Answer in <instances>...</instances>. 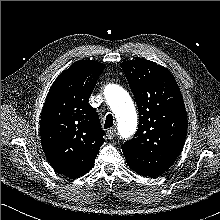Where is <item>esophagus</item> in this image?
<instances>
[{
  "mask_svg": "<svg viewBox=\"0 0 220 220\" xmlns=\"http://www.w3.org/2000/svg\"><path fill=\"white\" fill-rule=\"evenodd\" d=\"M116 132H117L116 128H111V129H109V130L107 131V137H108L109 139H113V138L115 137V135H116Z\"/></svg>",
  "mask_w": 220,
  "mask_h": 220,
  "instance_id": "34e87169",
  "label": "esophagus"
}]
</instances>
